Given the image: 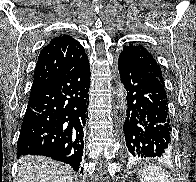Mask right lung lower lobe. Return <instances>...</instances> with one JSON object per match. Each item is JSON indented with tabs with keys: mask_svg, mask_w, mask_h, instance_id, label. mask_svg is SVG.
Segmentation results:
<instances>
[{
	"mask_svg": "<svg viewBox=\"0 0 196 182\" xmlns=\"http://www.w3.org/2000/svg\"><path fill=\"white\" fill-rule=\"evenodd\" d=\"M90 67L87 56L67 72L30 93L17 155H43L67 163L75 171L83 154L89 104Z\"/></svg>",
	"mask_w": 196,
	"mask_h": 182,
	"instance_id": "obj_1",
	"label": "right lung lower lobe"
}]
</instances>
